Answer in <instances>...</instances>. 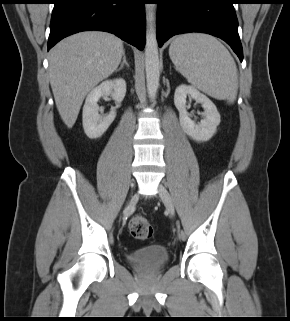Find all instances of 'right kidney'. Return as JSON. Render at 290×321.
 <instances>
[{
  "mask_svg": "<svg viewBox=\"0 0 290 321\" xmlns=\"http://www.w3.org/2000/svg\"><path fill=\"white\" fill-rule=\"evenodd\" d=\"M125 94L126 82L123 78L103 81L90 91L85 100L82 113L84 132L89 138L96 139L101 137L116 117L115 110L102 117L98 112V100L103 96L111 95L115 102L119 104L123 101Z\"/></svg>",
  "mask_w": 290,
  "mask_h": 321,
  "instance_id": "right-kidney-1",
  "label": "right kidney"
}]
</instances>
